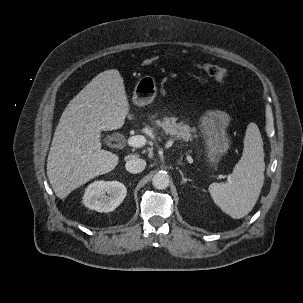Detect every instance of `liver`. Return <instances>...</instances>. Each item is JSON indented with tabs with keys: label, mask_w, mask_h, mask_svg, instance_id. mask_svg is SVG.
Returning <instances> with one entry per match:
<instances>
[{
	"label": "liver",
	"mask_w": 303,
	"mask_h": 303,
	"mask_svg": "<svg viewBox=\"0 0 303 303\" xmlns=\"http://www.w3.org/2000/svg\"><path fill=\"white\" fill-rule=\"evenodd\" d=\"M129 108L123 78L116 69L95 76L70 101L47 160V176L58 198L64 200L79 186L117 166L118 155L101 149V132L121 128L126 116L133 119Z\"/></svg>",
	"instance_id": "liver-1"
}]
</instances>
